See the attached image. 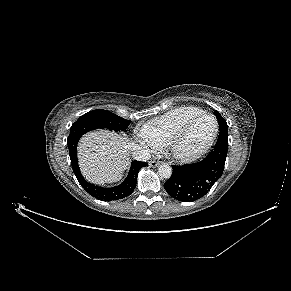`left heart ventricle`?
<instances>
[{"label":"left heart ventricle","mask_w":291,"mask_h":291,"mask_svg":"<svg viewBox=\"0 0 291 291\" xmlns=\"http://www.w3.org/2000/svg\"><path fill=\"white\" fill-rule=\"evenodd\" d=\"M215 128L213 118L204 116L198 119L188 130L179 145L182 153H193L202 148L211 138Z\"/></svg>","instance_id":"b2bd125f"}]
</instances>
